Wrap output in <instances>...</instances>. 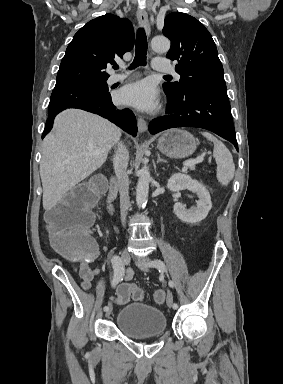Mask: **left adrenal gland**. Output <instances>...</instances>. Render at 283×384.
<instances>
[{
    "label": "left adrenal gland",
    "instance_id": "left-adrenal-gland-1",
    "mask_svg": "<svg viewBox=\"0 0 283 384\" xmlns=\"http://www.w3.org/2000/svg\"><path fill=\"white\" fill-rule=\"evenodd\" d=\"M156 154L158 156L157 164L158 162H165V164H167V160H161L159 152H156Z\"/></svg>",
    "mask_w": 283,
    "mask_h": 384
}]
</instances>
